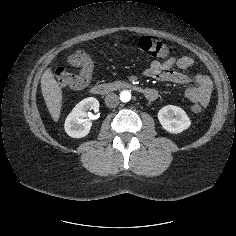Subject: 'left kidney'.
I'll return each mask as SVG.
<instances>
[{
  "label": "left kidney",
  "mask_w": 236,
  "mask_h": 236,
  "mask_svg": "<svg viewBox=\"0 0 236 236\" xmlns=\"http://www.w3.org/2000/svg\"><path fill=\"white\" fill-rule=\"evenodd\" d=\"M157 116L162 127L172 134L181 133L191 125L190 118L186 112L178 106H164L159 110Z\"/></svg>",
  "instance_id": "5707ae66"
}]
</instances>
